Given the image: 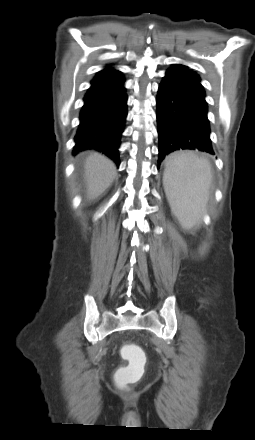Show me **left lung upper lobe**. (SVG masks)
I'll return each instance as SVG.
<instances>
[{"label":"left lung upper lobe","mask_w":255,"mask_h":440,"mask_svg":"<svg viewBox=\"0 0 255 440\" xmlns=\"http://www.w3.org/2000/svg\"><path fill=\"white\" fill-rule=\"evenodd\" d=\"M172 68H175L177 70L182 71L183 73H185L186 75H188L191 79L197 81L200 83V77L198 74H196V72H193L192 70H189L187 66L182 65V64H176L174 65Z\"/></svg>","instance_id":"obj_1"}]
</instances>
